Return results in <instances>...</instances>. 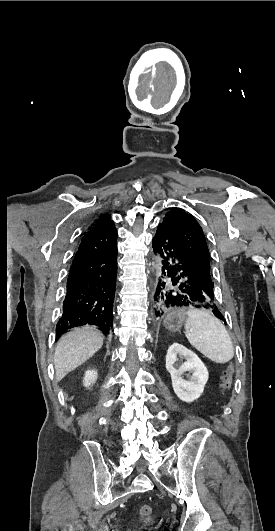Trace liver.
I'll list each match as a JSON object with an SVG mask.
<instances>
[{"label":"liver","instance_id":"6515ba94","mask_svg":"<svg viewBox=\"0 0 275 531\" xmlns=\"http://www.w3.org/2000/svg\"><path fill=\"white\" fill-rule=\"evenodd\" d=\"M104 343V337L96 327H81L63 335L54 353L56 381H62L70 371L93 357Z\"/></svg>","mask_w":275,"mask_h":531}]
</instances>
